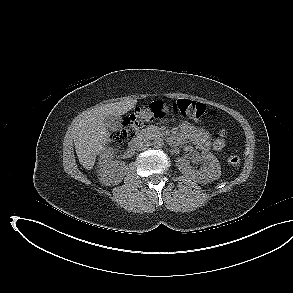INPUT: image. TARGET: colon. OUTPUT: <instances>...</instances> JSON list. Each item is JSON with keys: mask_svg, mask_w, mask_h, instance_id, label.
Segmentation results:
<instances>
[{"mask_svg": "<svg viewBox=\"0 0 293 293\" xmlns=\"http://www.w3.org/2000/svg\"><path fill=\"white\" fill-rule=\"evenodd\" d=\"M206 106L200 102L189 99H178L172 105H167L162 101H154L145 108H137L122 123L120 129L113 133L116 142H123L134 138L145 122L162 119L170 114H177L193 120L200 119L206 114ZM213 116L215 113H211ZM226 132L221 130L214 137V147L221 149L225 146ZM241 159L238 155H231L229 163L238 166Z\"/></svg>", "mask_w": 293, "mask_h": 293, "instance_id": "5ec220e1", "label": "colon"}]
</instances>
